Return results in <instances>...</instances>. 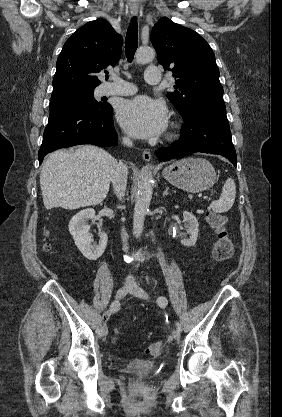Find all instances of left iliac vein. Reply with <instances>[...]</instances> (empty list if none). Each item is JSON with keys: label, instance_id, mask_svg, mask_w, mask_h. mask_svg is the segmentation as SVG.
<instances>
[{"label": "left iliac vein", "instance_id": "left-iliac-vein-1", "mask_svg": "<svg viewBox=\"0 0 282 417\" xmlns=\"http://www.w3.org/2000/svg\"><path fill=\"white\" fill-rule=\"evenodd\" d=\"M130 294L142 298V299H148V294L142 289L140 288L138 285L134 284L131 289H130ZM172 336L175 340H179L180 339V332L178 330H174L172 333Z\"/></svg>", "mask_w": 282, "mask_h": 417}]
</instances>
